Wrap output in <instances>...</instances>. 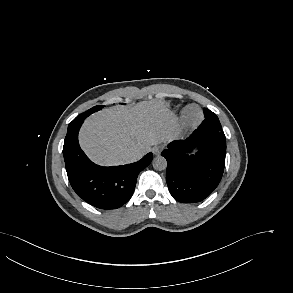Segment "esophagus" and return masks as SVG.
Wrapping results in <instances>:
<instances>
[{"mask_svg":"<svg viewBox=\"0 0 293 293\" xmlns=\"http://www.w3.org/2000/svg\"><path fill=\"white\" fill-rule=\"evenodd\" d=\"M163 149H164L163 145H157V146L153 147L152 152L155 155H160V153L162 152Z\"/></svg>","mask_w":293,"mask_h":293,"instance_id":"esophagus-1","label":"esophagus"}]
</instances>
